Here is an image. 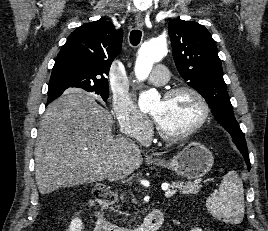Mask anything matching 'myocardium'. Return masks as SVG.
I'll return each instance as SVG.
<instances>
[{
	"instance_id": "myocardium-1",
	"label": "myocardium",
	"mask_w": 268,
	"mask_h": 231,
	"mask_svg": "<svg viewBox=\"0 0 268 231\" xmlns=\"http://www.w3.org/2000/svg\"><path fill=\"white\" fill-rule=\"evenodd\" d=\"M182 93H187L191 95L198 102L200 106V117L193 126H191L188 130L182 133L167 132L161 126V124L155 119L154 125L156 128V131L159 134V136L166 141L173 142V141L185 140L191 137L192 135H194L198 130H200L204 126L206 121L208 120V117L210 114V108H209L208 102L205 99V97L195 88H192L190 86H176L174 88L167 90L165 94L163 95V99L168 100Z\"/></svg>"
}]
</instances>
